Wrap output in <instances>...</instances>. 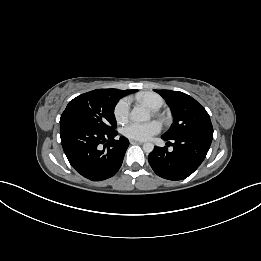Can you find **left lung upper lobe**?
I'll use <instances>...</instances> for the list:
<instances>
[{"mask_svg":"<svg viewBox=\"0 0 261 261\" xmlns=\"http://www.w3.org/2000/svg\"><path fill=\"white\" fill-rule=\"evenodd\" d=\"M168 103L173 114V124L163 135L168 139L183 135L213 136V127L205 108L191 96L171 90H154Z\"/></svg>","mask_w":261,"mask_h":261,"instance_id":"5c2ea615","label":"left lung upper lobe"}]
</instances>
